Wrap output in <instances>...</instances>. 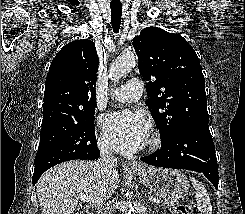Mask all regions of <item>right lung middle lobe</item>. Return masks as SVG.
<instances>
[{"label": "right lung middle lobe", "instance_id": "1", "mask_svg": "<svg viewBox=\"0 0 245 214\" xmlns=\"http://www.w3.org/2000/svg\"><path fill=\"white\" fill-rule=\"evenodd\" d=\"M94 113L92 111L76 122L40 133L34 171L47 170L64 161L90 159L89 151L97 145Z\"/></svg>", "mask_w": 245, "mask_h": 214}]
</instances>
